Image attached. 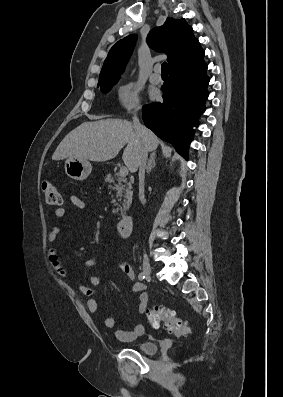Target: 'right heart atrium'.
I'll return each instance as SVG.
<instances>
[{"label": "right heart atrium", "instance_id": "d8ad5b80", "mask_svg": "<svg viewBox=\"0 0 283 397\" xmlns=\"http://www.w3.org/2000/svg\"><path fill=\"white\" fill-rule=\"evenodd\" d=\"M116 105L122 113H134L140 109L141 92L133 81L121 83L116 90Z\"/></svg>", "mask_w": 283, "mask_h": 397}]
</instances>
